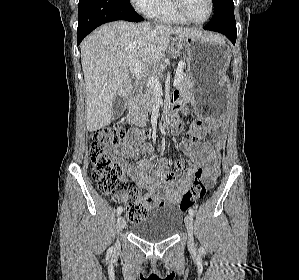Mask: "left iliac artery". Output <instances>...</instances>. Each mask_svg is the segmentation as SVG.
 <instances>
[{
  "mask_svg": "<svg viewBox=\"0 0 299 280\" xmlns=\"http://www.w3.org/2000/svg\"><path fill=\"white\" fill-rule=\"evenodd\" d=\"M189 214H190L191 216H194L195 211H194L193 209H190V210H189Z\"/></svg>",
  "mask_w": 299,
  "mask_h": 280,
  "instance_id": "obj_1",
  "label": "left iliac artery"
}]
</instances>
